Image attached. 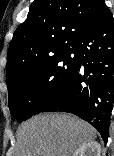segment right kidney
Returning a JSON list of instances; mask_svg holds the SVG:
<instances>
[{
  "mask_svg": "<svg viewBox=\"0 0 114 156\" xmlns=\"http://www.w3.org/2000/svg\"><path fill=\"white\" fill-rule=\"evenodd\" d=\"M101 146L96 141L81 145L72 156H100Z\"/></svg>",
  "mask_w": 114,
  "mask_h": 156,
  "instance_id": "right-kidney-1",
  "label": "right kidney"
}]
</instances>
